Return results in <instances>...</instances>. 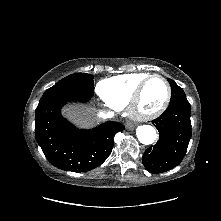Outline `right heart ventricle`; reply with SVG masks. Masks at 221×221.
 <instances>
[{
  "label": "right heart ventricle",
  "mask_w": 221,
  "mask_h": 221,
  "mask_svg": "<svg viewBox=\"0 0 221 221\" xmlns=\"http://www.w3.org/2000/svg\"><path fill=\"white\" fill-rule=\"evenodd\" d=\"M148 75L130 73L113 76L100 81L97 91L108 106L120 110L129 104L134 91Z\"/></svg>",
  "instance_id": "obj_1"
}]
</instances>
